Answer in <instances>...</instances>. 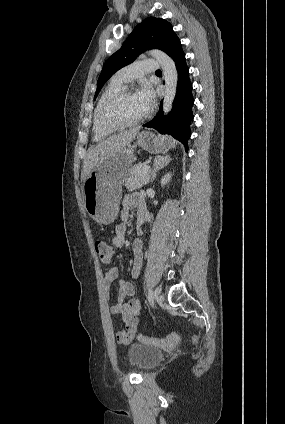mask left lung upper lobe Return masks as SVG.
Masks as SVG:
<instances>
[{"instance_id":"1","label":"left lung upper lobe","mask_w":285,"mask_h":424,"mask_svg":"<svg viewBox=\"0 0 285 424\" xmlns=\"http://www.w3.org/2000/svg\"><path fill=\"white\" fill-rule=\"evenodd\" d=\"M177 39L179 38L169 22L155 17L146 18L134 28L122 47L105 62L94 99L116 71L132 63L145 50L157 48L168 54Z\"/></svg>"}]
</instances>
